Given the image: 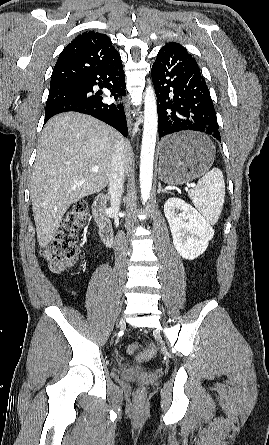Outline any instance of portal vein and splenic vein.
Wrapping results in <instances>:
<instances>
[{
	"instance_id": "obj_1",
	"label": "portal vein and splenic vein",
	"mask_w": 269,
	"mask_h": 445,
	"mask_svg": "<svg viewBox=\"0 0 269 445\" xmlns=\"http://www.w3.org/2000/svg\"><path fill=\"white\" fill-rule=\"evenodd\" d=\"M92 171H93V172H97V171H98V168L94 167V168H92ZM193 186H194V184H189V185H188V187H193Z\"/></svg>"
}]
</instances>
